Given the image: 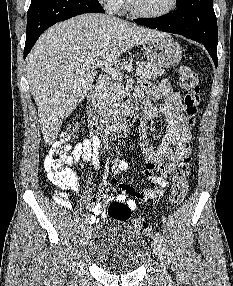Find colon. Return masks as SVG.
I'll list each match as a JSON object with an SVG mask.
<instances>
[{
	"instance_id": "1",
	"label": "colon",
	"mask_w": 233,
	"mask_h": 286,
	"mask_svg": "<svg viewBox=\"0 0 233 286\" xmlns=\"http://www.w3.org/2000/svg\"><path fill=\"white\" fill-rule=\"evenodd\" d=\"M179 84L183 90L184 103L187 113V126L189 130L195 125V118L198 114L201 95L198 77L195 71L187 66L181 65L178 72ZM69 135L64 134L60 140L54 143L44 158V168L53 184L62 190L74 189L77 187L75 173L68 167L67 163L70 152L68 144ZM185 149H191V143L185 144ZM192 160L190 155H186L179 164L172 179L170 188V204L173 208L178 207L185 199L188 192V177L191 171ZM107 214L116 220H129L138 233L149 235L150 228L141 217H131V208L124 202L113 200L107 206Z\"/></svg>"
}]
</instances>
